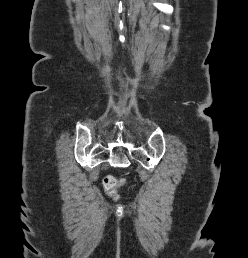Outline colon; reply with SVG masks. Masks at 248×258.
<instances>
[{
  "instance_id": "5ec220e1",
  "label": "colon",
  "mask_w": 248,
  "mask_h": 258,
  "mask_svg": "<svg viewBox=\"0 0 248 258\" xmlns=\"http://www.w3.org/2000/svg\"><path fill=\"white\" fill-rule=\"evenodd\" d=\"M118 184L119 180L111 176L106 177L103 181L105 191L111 196L116 195V187Z\"/></svg>"
}]
</instances>
